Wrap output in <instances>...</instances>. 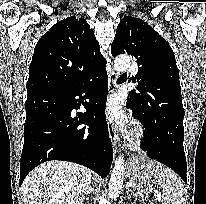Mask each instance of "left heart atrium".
Listing matches in <instances>:
<instances>
[{
	"label": "left heart atrium",
	"instance_id": "obj_1",
	"mask_svg": "<svg viewBox=\"0 0 206 204\" xmlns=\"http://www.w3.org/2000/svg\"><path fill=\"white\" fill-rule=\"evenodd\" d=\"M108 113L113 117V118H120L121 115V110H120V105L117 101H113L110 106L108 107Z\"/></svg>",
	"mask_w": 206,
	"mask_h": 204
}]
</instances>
